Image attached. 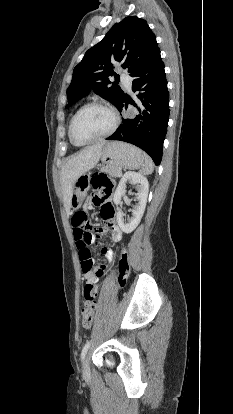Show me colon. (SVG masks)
<instances>
[{
  "label": "colon",
  "mask_w": 233,
  "mask_h": 414,
  "mask_svg": "<svg viewBox=\"0 0 233 414\" xmlns=\"http://www.w3.org/2000/svg\"><path fill=\"white\" fill-rule=\"evenodd\" d=\"M90 183L92 187L97 191L103 194V199L112 194L114 183L113 181L105 174H94L91 177ZM101 213L103 215H108L110 213V205L104 203L101 208ZM72 224L76 229V243L79 250V258L81 261V267L84 272L90 271L93 269V257L89 246L92 242L93 235L91 233V228L88 222L87 215L84 211H77L72 217ZM98 273L103 275L105 270L103 268L98 269ZM129 275V262L127 252L124 250L121 254L119 262V276L118 282L121 287L126 283V280ZM84 306L82 309V325L85 328H89L94 319L96 311V302L95 298L97 295L96 289L91 284H86L84 287Z\"/></svg>",
  "instance_id": "obj_1"
}]
</instances>
